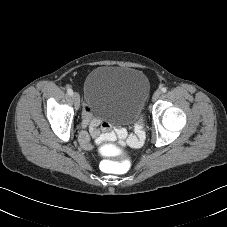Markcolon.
I'll use <instances>...</instances> for the list:
<instances>
[{"mask_svg": "<svg viewBox=\"0 0 227 227\" xmlns=\"http://www.w3.org/2000/svg\"><path fill=\"white\" fill-rule=\"evenodd\" d=\"M100 150L111 151L107 159L114 160L118 164V170L121 174H124L129 169V160L126 157L124 149L117 144L106 141L100 145Z\"/></svg>", "mask_w": 227, "mask_h": 227, "instance_id": "1", "label": "colon"}]
</instances>
